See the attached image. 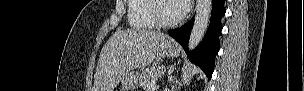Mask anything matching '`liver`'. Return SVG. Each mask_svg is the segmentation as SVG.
I'll use <instances>...</instances> for the list:
<instances>
[{
  "label": "liver",
  "mask_w": 304,
  "mask_h": 91,
  "mask_svg": "<svg viewBox=\"0 0 304 91\" xmlns=\"http://www.w3.org/2000/svg\"><path fill=\"white\" fill-rule=\"evenodd\" d=\"M167 35L149 30H119L101 50L92 91H113L123 77L150 65Z\"/></svg>",
  "instance_id": "1"
}]
</instances>
